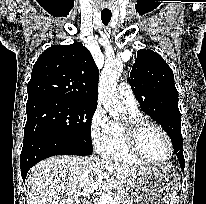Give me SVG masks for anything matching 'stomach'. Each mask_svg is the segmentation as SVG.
<instances>
[{
    "mask_svg": "<svg viewBox=\"0 0 206 204\" xmlns=\"http://www.w3.org/2000/svg\"><path fill=\"white\" fill-rule=\"evenodd\" d=\"M179 184L172 166L153 167L143 171L125 191L130 204H170Z\"/></svg>",
    "mask_w": 206,
    "mask_h": 204,
    "instance_id": "stomach-1",
    "label": "stomach"
}]
</instances>
